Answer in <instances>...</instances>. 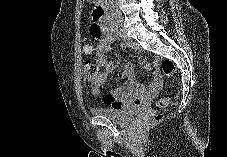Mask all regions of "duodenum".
<instances>
[{"label": "duodenum", "mask_w": 227, "mask_h": 157, "mask_svg": "<svg viewBox=\"0 0 227 157\" xmlns=\"http://www.w3.org/2000/svg\"><path fill=\"white\" fill-rule=\"evenodd\" d=\"M107 7V2H101L100 4H96V16H90V21H94V25L91 28L92 32H110V27L105 21V13Z\"/></svg>", "instance_id": "1"}]
</instances>
